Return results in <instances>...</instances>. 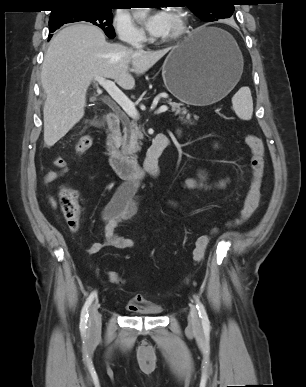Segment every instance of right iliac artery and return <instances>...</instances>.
<instances>
[{"mask_svg":"<svg viewBox=\"0 0 306 387\" xmlns=\"http://www.w3.org/2000/svg\"><path fill=\"white\" fill-rule=\"evenodd\" d=\"M97 295V292L94 291L92 292L89 297L87 298L83 308H82V311H81V317H80V329L81 330H85L87 328V320H88V309L91 305V303L93 302L94 298L96 297Z\"/></svg>","mask_w":306,"mask_h":387,"instance_id":"82829eb1","label":"right iliac artery"}]
</instances>
